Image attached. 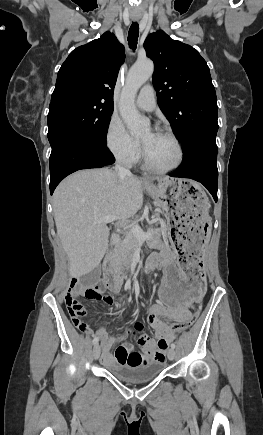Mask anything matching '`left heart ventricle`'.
<instances>
[{"mask_svg":"<svg viewBox=\"0 0 263 435\" xmlns=\"http://www.w3.org/2000/svg\"><path fill=\"white\" fill-rule=\"evenodd\" d=\"M151 163L159 168L174 165L178 160V149L168 137L147 131L141 138Z\"/></svg>","mask_w":263,"mask_h":435,"instance_id":"b2bd125f","label":"left heart ventricle"}]
</instances>
